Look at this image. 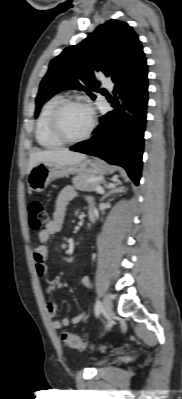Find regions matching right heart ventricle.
Listing matches in <instances>:
<instances>
[{"instance_id":"e07e8e85","label":"right heart ventricle","mask_w":182,"mask_h":399,"mask_svg":"<svg viewBox=\"0 0 182 399\" xmlns=\"http://www.w3.org/2000/svg\"><path fill=\"white\" fill-rule=\"evenodd\" d=\"M64 100L62 95H54L42 107L35 129V136L38 144L47 149L60 147V142L52 133L50 127L51 114L55 107Z\"/></svg>"}]
</instances>
